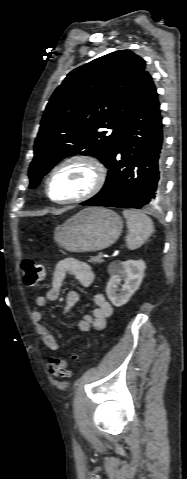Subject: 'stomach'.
Wrapping results in <instances>:
<instances>
[{
	"mask_svg": "<svg viewBox=\"0 0 187 479\" xmlns=\"http://www.w3.org/2000/svg\"><path fill=\"white\" fill-rule=\"evenodd\" d=\"M123 228L121 217L114 211L86 208L57 226L54 239L71 252H95L111 246Z\"/></svg>",
	"mask_w": 187,
	"mask_h": 479,
	"instance_id": "0dacf381",
	"label": "stomach"
}]
</instances>
